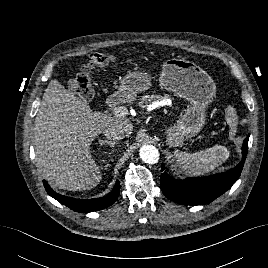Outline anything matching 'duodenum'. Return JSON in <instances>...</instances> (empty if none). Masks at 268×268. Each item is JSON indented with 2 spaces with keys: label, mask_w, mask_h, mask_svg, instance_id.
I'll return each mask as SVG.
<instances>
[{
  "label": "duodenum",
  "mask_w": 268,
  "mask_h": 268,
  "mask_svg": "<svg viewBox=\"0 0 268 268\" xmlns=\"http://www.w3.org/2000/svg\"><path fill=\"white\" fill-rule=\"evenodd\" d=\"M120 102V97L118 94H112L107 99V106L110 108L116 107Z\"/></svg>",
  "instance_id": "1"
}]
</instances>
